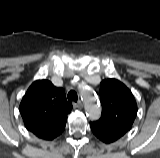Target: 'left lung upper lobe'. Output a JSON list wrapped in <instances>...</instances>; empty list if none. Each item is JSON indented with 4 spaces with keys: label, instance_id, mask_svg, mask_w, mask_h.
Segmentation results:
<instances>
[{
    "label": "left lung upper lobe",
    "instance_id": "obj_1",
    "mask_svg": "<svg viewBox=\"0 0 160 158\" xmlns=\"http://www.w3.org/2000/svg\"><path fill=\"white\" fill-rule=\"evenodd\" d=\"M102 115L93 123L104 129L125 135L137 116V104L132 92L117 79H105L100 84Z\"/></svg>",
    "mask_w": 160,
    "mask_h": 158
}]
</instances>
